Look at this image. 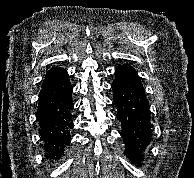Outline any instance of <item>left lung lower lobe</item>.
Segmentation results:
<instances>
[{
	"instance_id": "0a47b994",
	"label": "left lung lower lobe",
	"mask_w": 194,
	"mask_h": 178,
	"mask_svg": "<svg viewBox=\"0 0 194 178\" xmlns=\"http://www.w3.org/2000/svg\"><path fill=\"white\" fill-rule=\"evenodd\" d=\"M112 89L113 101L118 108L117 119L122 126L124 153L132 163L139 165L151 141L153 125L150 122L149 103L137 71L128 64L119 66L115 71Z\"/></svg>"
}]
</instances>
